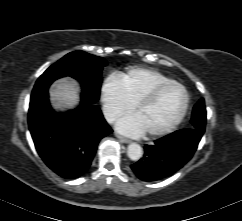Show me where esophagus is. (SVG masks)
Here are the masks:
<instances>
[{"label":"esophagus","instance_id":"esophagus-1","mask_svg":"<svg viewBox=\"0 0 242 221\" xmlns=\"http://www.w3.org/2000/svg\"><path fill=\"white\" fill-rule=\"evenodd\" d=\"M116 137H117L121 142H123V143H130V142H131V140H129V139H127V138H125V137H123V136H121V135H119V134H116Z\"/></svg>","mask_w":242,"mask_h":221}]
</instances>
